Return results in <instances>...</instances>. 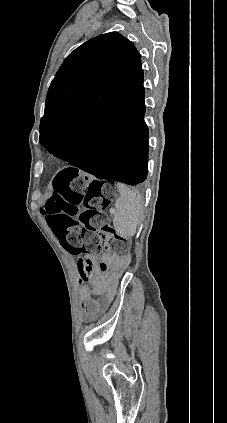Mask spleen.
Listing matches in <instances>:
<instances>
[{
  "label": "spleen",
  "mask_w": 227,
  "mask_h": 423,
  "mask_svg": "<svg viewBox=\"0 0 227 423\" xmlns=\"http://www.w3.org/2000/svg\"><path fill=\"white\" fill-rule=\"evenodd\" d=\"M120 190V198L115 202L116 213L113 217V225L122 237H132L136 233L141 213H143V200L140 194L129 190L123 184H117Z\"/></svg>",
  "instance_id": "1"
}]
</instances>
